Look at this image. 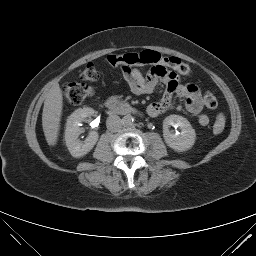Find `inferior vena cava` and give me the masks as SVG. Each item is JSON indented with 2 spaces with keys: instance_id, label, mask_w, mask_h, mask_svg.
<instances>
[{
  "instance_id": "obj_1",
  "label": "inferior vena cava",
  "mask_w": 256,
  "mask_h": 256,
  "mask_svg": "<svg viewBox=\"0 0 256 256\" xmlns=\"http://www.w3.org/2000/svg\"><path fill=\"white\" fill-rule=\"evenodd\" d=\"M122 119L117 115H111L107 118L106 126L111 132H117L122 127Z\"/></svg>"
}]
</instances>
